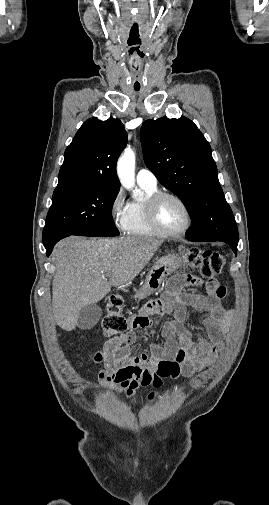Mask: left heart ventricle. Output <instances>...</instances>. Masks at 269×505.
Wrapping results in <instances>:
<instances>
[{
	"mask_svg": "<svg viewBox=\"0 0 269 505\" xmlns=\"http://www.w3.org/2000/svg\"><path fill=\"white\" fill-rule=\"evenodd\" d=\"M160 225L167 231L175 232L184 228L187 215L184 208L174 199H163L157 209Z\"/></svg>",
	"mask_w": 269,
	"mask_h": 505,
	"instance_id": "left-heart-ventricle-1",
	"label": "left heart ventricle"
}]
</instances>
